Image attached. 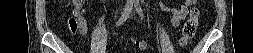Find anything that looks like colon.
<instances>
[{"instance_id": "5ec220e1", "label": "colon", "mask_w": 253, "mask_h": 53, "mask_svg": "<svg viewBox=\"0 0 253 53\" xmlns=\"http://www.w3.org/2000/svg\"><path fill=\"white\" fill-rule=\"evenodd\" d=\"M81 3L80 1H76ZM74 2V7L70 11V18L68 21V27L71 31L75 32L79 29L80 18L84 16L85 10L83 7L76 5ZM200 15V10L197 6H194L190 10V15L187 21L185 22L182 30V35L180 37L179 43L181 46H185L195 35L198 27V19ZM133 44L138 49H145L146 43L141 40H133Z\"/></svg>"}]
</instances>
